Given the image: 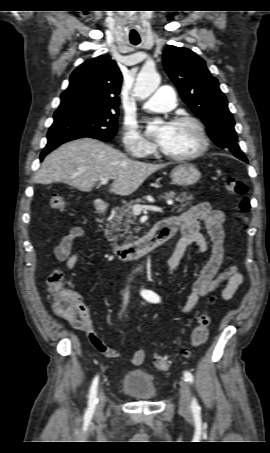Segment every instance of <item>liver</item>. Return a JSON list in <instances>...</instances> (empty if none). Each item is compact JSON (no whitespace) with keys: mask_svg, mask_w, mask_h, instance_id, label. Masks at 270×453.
Listing matches in <instances>:
<instances>
[{"mask_svg":"<svg viewBox=\"0 0 270 453\" xmlns=\"http://www.w3.org/2000/svg\"><path fill=\"white\" fill-rule=\"evenodd\" d=\"M164 167L132 160L103 142L81 138L63 144L46 156L34 181L45 185L64 182L90 192L102 178H113L109 191L128 196L152 173Z\"/></svg>","mask_w":270,"mask_h":453,"instance_id":"liver-1","label":"liver"}]
</instances>
